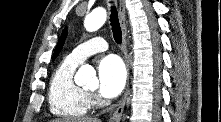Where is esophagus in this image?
Instances as JSON below:
<instances>
[{"label": "esophagus", "instance_id": "1", "mask_svg": "<svg viewBox=\"0 0 221 122\" xmlns=\"http://www.w3.org/2000/svg\"><path fill=\"white\" fill-rule=\"evenodd\" d=\"M118 15H119V22H120V26H121V30H122V47H121V49L123 52V56H124V60H125L126 68H127V84H126L124 96H123L122 100L120 101L118 108L116 109V111L113 113V115L109 119V122H120L123 111H124L127 95H128V89H129L130 58H129L128 48H127L126 7H125L124 0L119 1Z\"/></svg>", "mask_w": 221, "mask_h": 122}]
</instances>
